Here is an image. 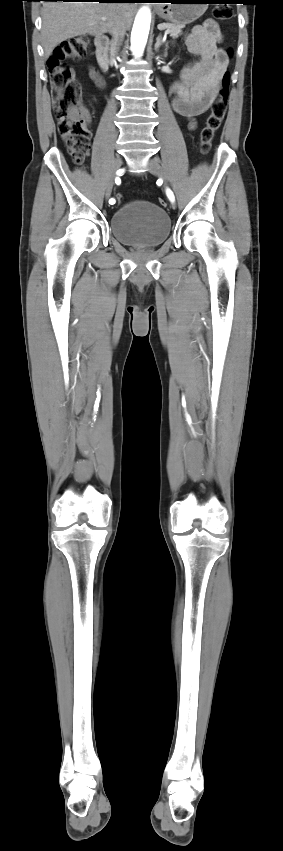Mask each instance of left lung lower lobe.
Segmentation results:
<instances>
[{
	"label": "left lung lower lobe",
	"instance_id": "0a47b994",
	"mask_svg": "<svg viewBox=\"0 0 283 851\" xmlns=\"http://www.w3.org/2000/svg\"><path fill=\"white\" fill-rule=\"evenodd\" d=\"M208 3H225V4L227 3V4H231V3H239V2H238V0H213V1L208 2Z\"/></svg>",
	"mask_w": 283,
	"mask_h": 851
}]
</instances>
